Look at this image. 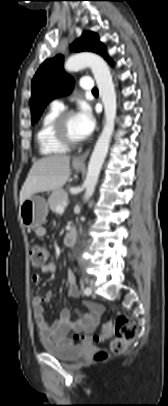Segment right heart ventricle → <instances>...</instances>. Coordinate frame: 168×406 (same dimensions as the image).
I'll return each mask as SVG.
<instances>
[{"mask_svg": "<svg viewBox=\"0 0 168 406\" xmlns=\"http://www.w3.org/2000/svg\"><path fill=\"white\" fill-rule=\"evenodd\" d=\"M62 109L51 107L42 117L36 133V141L42 155L64 153L68 147L59 143L53 133V125Z\"/></svg>", "mask_w": 168, "mask_h": 406, "instance_id": "obj_1", "label": "right heart ventricle"}]
</instances>
